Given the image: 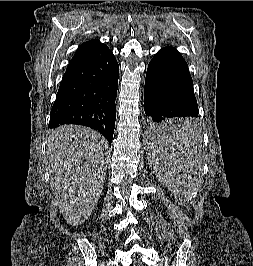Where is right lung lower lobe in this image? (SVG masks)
I'll use <instances>...</instances> for the list:
<instances>
[{
    "label": "right lung lower lobe",
    "instance_id": "98d812e1",
    "mask_svg": "<svg viewBox=\"0 0 253 266\" xmlns=\"http://www.w3.org/2000/svg\"><path fill=\"white\" fill-rule=\"evenodd\" d=\"M119 65L107 47L68 66L53 104L48 128L79 124L99 131L111 146L116 120Z\"/></svg>",
    "mask_w": 253,
    "mask_h": 266
}]
</instances>
